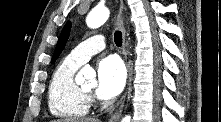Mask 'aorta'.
<instances>
[{"mask_svg":"<svg viewBox=\"0 0 221 122\" xmlns=\"http://www.w3.org/2000/svg\"><path fill=\"white\" fill-rule=\"evenodd\" d=\"M109 18V10L104 6L95 7L87 16L86 23L89 28H98L103 25ZM95 73L91 68L85 67L80 71L79 80L84 81V78H90V82L94 83ZM122 122H131V116L126 115Z\"/></svg>","mask_w":221,"mask_h":122,"instance_id":"1","label":"aorta"}]
</instances>
